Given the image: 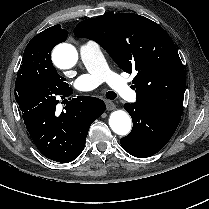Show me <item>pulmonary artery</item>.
<instances>
[{"label": "pulmonary artery", "mask_w": 209, "mask_h": 209, "mask_svg": "<svg viewBox=\"0 0 209 209\" xmlns=\"http://www.w3.org/2000/svg\"><path fill=\"white\" fill-rule=\"evenodd\" d=\"M79 56L87 73L79 76L74 87L82 92L95 89L101 82L106 81L120 98L127 101H135L137 94L130 89L128 84L118 75L108 70L103 59L100 45L95 41H87L80 45Z\"/></svg>", "instance_id": "e3ab8cb5"}]
</instances>
